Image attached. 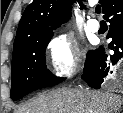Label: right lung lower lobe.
Here are the masks:
<instances>
[{
  "label": "right lung lower lobe",
  "instance_id": "98d812e1",
  "mask_svg": "<svg viewBox=\"0 0 123 113\" xmlns=\"http://www.w3.org/2000/svg\"><path fill=\"white\" fill-rule=\"evenodd\" d=\"M104 18L110 23L107 38H112L109 48L114 50V54L107 56L102 48L91 51L82 79L94 89L101 87L108 73H112L110 70L114 65L123 62V0H113Z\"/></svg>",
  "mask_w": 123,
  "mask_h": 113
}]
</instances>
